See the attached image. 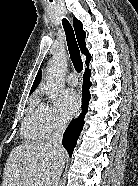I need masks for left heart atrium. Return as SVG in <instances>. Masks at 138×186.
<instances>
[{
	"mask_svg": "<svg viewBox=\"0 0 138 186\" xmlns=\"http://www.w3.org/2000/svg\"><path fill=\"white\" fill-rule=\"evenodd\" d=\"M79 99L77 93L67 89L61 94L60 113L64 119H70L78 110Z\"/></svg>",
	"mask_w": 138,
	"mask_h": 186,
	"instance_id": "39dd6f15",
	"label": "left heart atrium"
}]
</instances>
